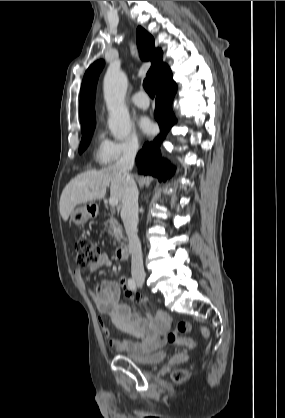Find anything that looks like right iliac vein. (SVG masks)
Returning <instances> with one entry per match:
<instances>
[{
  "instance_id": "63e3f726",
  "label": "right iliac vein",
  "mask_w": 285,
  "mask_h": 418,
  "mask_svg": "<svg viewBox=\"0 0 285 418\" xmlns=\"http://www.w3.org/2000/svg\"><path fill=\"white\" fill-rule=\"evenodd\" d=\"M134 279L139 284H144V282H145V276L144 275H136V276H134Z\"/></svg>"
}]
</instances>
